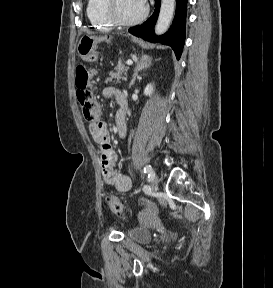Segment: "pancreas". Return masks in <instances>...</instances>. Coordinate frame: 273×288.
Masks as SVG:
<instances>
[{
	"label": "pancreas",
	"mask_w": 273,
	"mask_h": 288,
	"mask_svg": "<svg viewBox=\"0 0 273 288\" xmlns=\"http://www.w3.org/2000/svg\"><path fill=\"white\" fill-rule=\"evenodd\" d=\"M129 71V67L124 65H118L114 71L109 73V77L106 79V83L113 82V83H121V80H126L125 75Z\"/></svg>",
	"instance_id": "cf45deb5"
}]
</instances>
